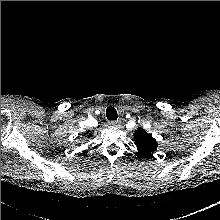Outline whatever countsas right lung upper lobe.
I'll return each instance as SVG.
<instances>
[{
    "label": "right lung upper lobe",
    "mask_w": 220,
    "mask_h": 220,
    "mask_svg": "<svg viewBox=\"0 0 220 220\" xmlns=\"http://www.w3.org/2000/svg\"><path fill=\"white\" fill-rule=\"evenodd\" d=\"M88 135H89V137H90V136H91V133H89Z\"/></svg>",
    "instance_id": "right-lung-upper-lobe-1"
}]
</instances>
